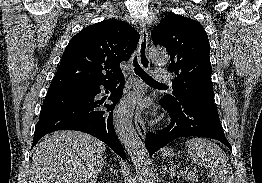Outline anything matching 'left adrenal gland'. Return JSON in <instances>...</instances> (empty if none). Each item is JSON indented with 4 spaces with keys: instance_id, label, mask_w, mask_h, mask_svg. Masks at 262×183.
<instances>
[{
    "instance_id": "left-adrenal-gland-1",
    "label": "left adrenal gland",
    "mask_w": 262,
    "mask_h": 183,
    "mask_svg": "<svg viewBox=\"0 0 262 183\" xmlns=\"http://www.w3.org/2000/svg\"><path fill=\"white\" fill-rule=\"evenodd\" d=\"M166 173H169L170 176H174V175H175V170H174V168H171L170 170H168V167L165 166V167L163 168V171H162L163 176H164Z\"/></svg>"
}]
</instances>
